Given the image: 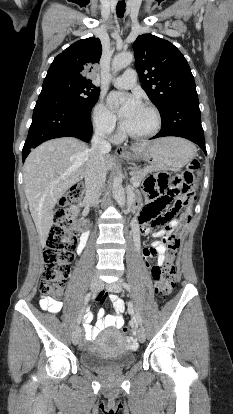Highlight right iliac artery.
I'll list each match as a JSON object with an SVG mask.
<instances>
[{
	"label": "right iliac artery",
	"instance_id": "obj_1",
	"mask_svg": "<svg viewBox=\"0 0 233 414\" xmlns=\"http://www.w3.org/2000/svg\"><path fill=\"white\" fill-rule=\"evenodd\" d=\"M91 293H88L85 297L84 303L85 305L89 302L90 298H91ZM81 322V315L77 318V325H79Z\"/></svg>",
	"mask_w": 233,
	"mask_h": 414
}]
</instances>
